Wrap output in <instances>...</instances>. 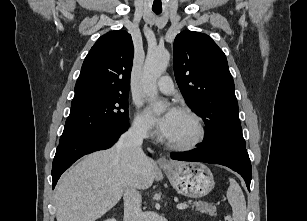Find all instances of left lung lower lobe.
<instances>
[{
	"label": "left lung lower lobe",
	"mask_w": 307,
	"mask_h": 221,
	"mask_svg": "<svg viewBox=\"0 0 307 221\" xmlns=\"http://www.w3.org/2000/svg\"><path fill=\"white\" fill-rule=\"evenodd\" d=\"M171 158L180 161L221 164L239 173L250 191L251 163L245 148L224 141L204 142L200 147L186 152H172Z\"/></svg>",
	"instance_id": "left-lung-lower-lobe-1"
}]
</instances>
